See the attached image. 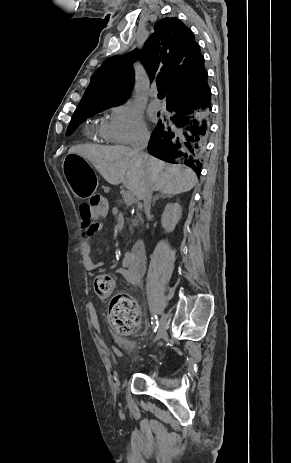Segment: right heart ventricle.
<instances>
[{"label":"right heart ventricle","mask_w":291,"mask_h":463,"mask_svg":"<svg viewBox=\"0 0 291 463\" xmlns=\"http://www.w3.org/2000/svg\"><path fill=\"white\" fill-rule=\"evenodd\" d=\"M104 125H105V122H102L101 124L99 125H96L95 127H93V133L95 136H98L100 138H104Z\"/></svg>","instance_id":"right-heart-ventricle-1"}]
</instances>
